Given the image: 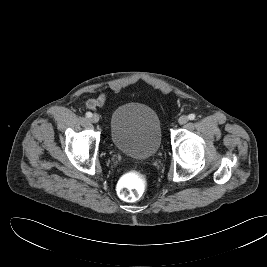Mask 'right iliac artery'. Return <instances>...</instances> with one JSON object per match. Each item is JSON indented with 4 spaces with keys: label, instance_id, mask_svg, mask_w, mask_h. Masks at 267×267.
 <instances>
[{
    "label": "right iliac artery",
    "instance_id": "right-iliac-artery-1",
    "mask_svg": "<svg viewBox=\"0 0 267 267\" xmlns=\"http://www.w3.org/2000/svg\"><path fill=\"white\" fill-rule=\"evenodd\" d=\"M85 116H86L87 118H90V117L92 116V113H91V112H86Z\"/></svg>",
    "mask_w": 267,
    "mask_h": 267
}]
</instances>
